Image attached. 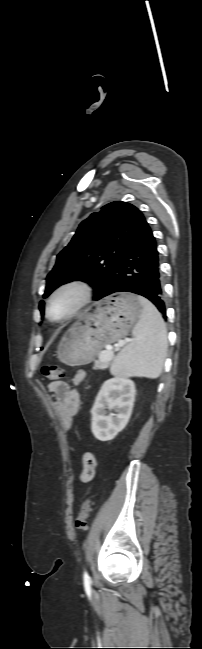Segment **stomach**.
Returning a JSON list of instances; mask_svg holds the SVG:
<instances>
[{
    "instance_id": "1",
    "label": "stomach",
    "mask_w": 202,
    "mask_h": 649,
    "mask_svg": "<svg viewBox=\"0 0 202 649\" xmlns=\"http://www.w3.org/2000/svg\"><path fill=\"white\" fill-rule=\"evenodd\" d=\"M142 310L138 296L130 293L114 294L95 303V310L64 334L57 347V358L70 366L93 361L104 346L128 335Z\"/></svg>"
}]
</instances>
